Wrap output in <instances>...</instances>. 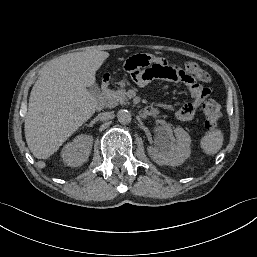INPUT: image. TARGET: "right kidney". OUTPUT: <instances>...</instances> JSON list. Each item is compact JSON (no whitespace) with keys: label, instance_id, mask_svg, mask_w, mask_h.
<instances>
[{"label":"right kidney","instance_id":"right-kidney-1","mask_svg":"<svg viewBox=\"0 0 257 257\" xmlns=\"http://www.w3.org/2000/svg\"><path fill=\"white\" fill-rule=\"evenodd\" d=\"M93 138L90 135H79L62 149L61 156L64 163L71 167H78L85 163L91 153Z\"/></svg>","mask_w":257,"mask_h":257}]
</instances>
